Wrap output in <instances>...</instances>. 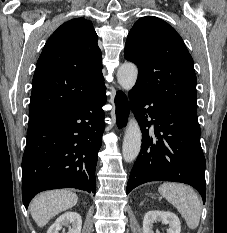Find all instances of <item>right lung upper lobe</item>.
<instances>
[{
	"mask_svg": "<svg viewBox=\"0 0 227 233\" xmlns=\"http://www.w3.org/2000/svg\"><path fill=\"white\" fill-rule=\"evenodd\" d=\"M104 86L102 54L90 21L62 24L38 59L29 107V126L80 102Z\"/></svg>",
	"mask_w": 227,
	"mask_h": 233,
	"instance_id": "cb5924a9",
	"label": "right lung upper lobe"
}]
</instances>
